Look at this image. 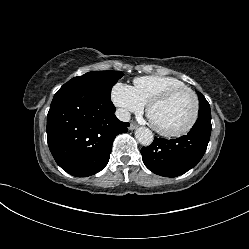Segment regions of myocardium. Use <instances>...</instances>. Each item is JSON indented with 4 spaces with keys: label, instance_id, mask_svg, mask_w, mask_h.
Returning a JSON list of instances; mask_svg holds the SVG:
<instances>
[{
    "label": "myocardium",
    "instance_id": "obj_1",
    "mask_svg": "<svg viewBox=\"0 0 249 249\" xmlns=\"http://www.w3.org/2000/svg\"><path fill=\"white\" fill-rule=\"evenodd\" d=\"M182 92H188L189 94H191L193 101H194V109H193V114L192 117L190 119V121L188 122V124L186 126H184L183 128L176 130V131H166L163 130L161 128H159L153 121L151 118V113L152 110L160 104H163L167 101H169L171 98H173L174 96H176L179 93ZM199 110H200V102H199V98L197 93L191 89L190 87L187 86H182V87H176L173 89H170L166 92H164L163 94L155 97L153 100H151L148 104L147 107V115L152 123V126L154 127V129L161 135L165 136V137H180L185 135L186 133H188L196 124L198 116H199Z\"/></svg>",
    "mask_w": 249,
    "mask_h": 249
}]
</instances>
